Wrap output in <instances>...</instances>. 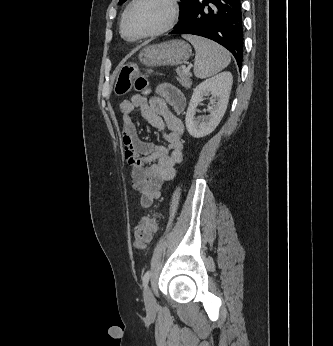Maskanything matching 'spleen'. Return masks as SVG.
I'll list each match as a JSON object with an SVG mask.
<instances>
[{
	"label": "spleen",
	"instance_id": "1",
	"mask_svg": "<svg viewBox=\"0 0 333 346\" xmlns=\"http://www.w3.org/2000/svg\"><path fill=\"white\" fill-rule=\"evenodd\" d=\"M195 48L194 74L197 78L204 79L212 76L231 61L230 54L217 43L194 35L184 36Z\"/></svg>",
	"mask_w": 333,
	"mask_h": 346
}]
</instances>
